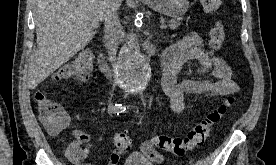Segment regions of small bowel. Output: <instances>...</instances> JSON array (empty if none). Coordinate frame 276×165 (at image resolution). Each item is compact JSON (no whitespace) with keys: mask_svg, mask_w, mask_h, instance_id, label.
<instances>
[{"mask_svg":"<svg viewBox=\"0 0 276 165\" xmlns=\"http://www.w3.org/2000/svg\"><path fill=\"white\" fill-rule=\"evenodd\" d=\"M162 59L167 62L162 77V88L169 97L171 108L176 114L184 113L186 98L189 95L214 98L236 94L239 91V85L233 79L230 66L222 57L206 48L204 38L197 32L187 33L182 39L168 46L163 52ZM192 60L200 65L197 71L199 76L209 75L211 78L178 81L177 75L183 65ZM72 135L74 139L68 147V157L76 165H83L82 160L91 147L90 136L79 130H74ZM149 145L150 142L143 144V153L144 148ZM82 146H84L83 149ZM120 157L121 153L115 150L110 155L107 165H117ZM146 158L150 161L161 159L158 153L153 160L147 156Z\"/></svg>","mask_w":276,"mask_h":165,"instance_id":"small-bowel-1","label":"small bowel"}]
</instances>
